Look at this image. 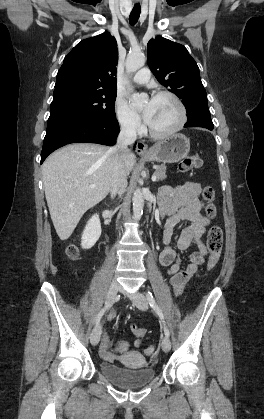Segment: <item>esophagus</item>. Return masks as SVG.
<instances>
[{
    "mask_svg": "<svg viewBox=\"0 0 264 419\" xmlns=\"http://www.w3.org/2000/svg\"><path fill=\"white\" fill-rule=\"evenodd\" d=\"M136 152L139 155H145V154H148L150 152V150H149L147 144H145L143 141H139L137 143V146H136Z\"/></svg>",
    "mask_w": 264,
    "mask_h": 419,
    "instance_id": "esophagus-1",
    "label": "esophagus"
}]
</instances>
